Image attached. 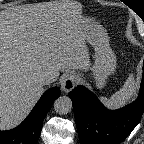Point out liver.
<instances>
[{"label": "liver", "instance_id": "obj_1", "mask_svg": "<svg viewBox=\"0 0 144 144\" xmlns=\"http://www.w3.org/2000/svg\"><path fill=\"white\" fill-rule=\"evenodd\" d=\"M82 5L60 0L0 12V130L19 125L44 92L48 72L87 69Z\"/></svg>", "mask_w": 144, "mask_h": 144}]
</instances>
